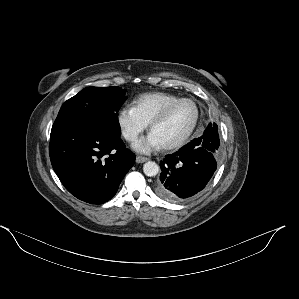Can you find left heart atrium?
<instances>
[{
    "mask_svg": "<svg viewBox=\"0 0 299 299\" xmlns=\"http://www.w3.org/2000/svg\"><path fill=\"white\" fill-rule=\"evenodd\" d=\"M161 147V143L152 133L134 144V149L141 153H150L153 151H157Z\"/></svg>",
    "mask_w": 299,
    "mask_h": 299,
    "instance_id": "39dd6f15",
    "label": "left heart atrium"
}]
</instances>
